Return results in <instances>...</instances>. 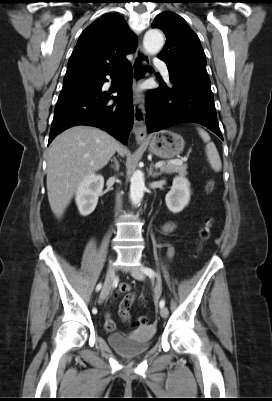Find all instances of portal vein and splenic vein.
Masks as SVG:
<instances>
[{
	"mask_svg": "<svg viewBox=\"0 0 272 401\" xmlns=\"http://www.w3.org/2000/svg\"><path fill=\"white\" fill-rule=\"evenodd\" d=\"M186 160H187L186 158L175 159V160H170V161H168V163H171V164H181V163H183V161H186ZM164 164H165L164 162H157V163L155 164V168H160V167H162Z\"/></svg>",
	"mask_w": 272,
	"mask_h": 401,
	"instance_id": "obj_1",
	"label": "portal vein and splenic vein"
}]
</instances>
